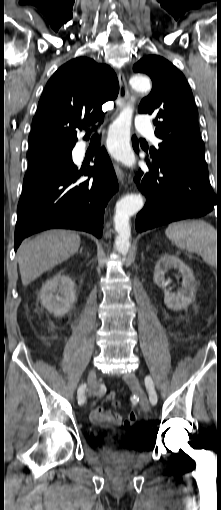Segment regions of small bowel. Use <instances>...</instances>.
Masks as SVG:
<instances>
[{
  "label": "small bowel",
  "mask_w": 221,
  "mask_h": 510,
  "mask_svg": "<svg viewBox=\"0 0 221 510\" xmlns=\"http://www.w3.org/2000/svg\"><path fill=\"white\" fill-rule=\"evenodd\" d=\"M89 419L93 424L109 428L120 425L122 415L119 412L106 411L103 406L97 405L91 410Z\"/></svg>",
  "instance_id": "obj_1"
}]
</instances>
